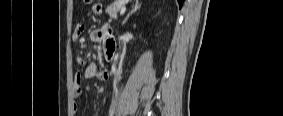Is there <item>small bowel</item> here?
<instances>
[{"instance_id": "1", "label": "small bowel", "mask_w": 283, "mask_h": 116, "mask_svg": "<svg viewBox=\"0 0 283 116\" xmlns=\"http://www.w3.org/2000/svg\"><path fill=\"white\" fill-rule=\"evenodd\" d=\"M102 12L101 4L95 3L93 5V13L100 15ZM83 31L82 27H79L75 30L73 34V40L81 41L83 39ZM111 30L108 25H103L102 27L91 31L90 38L94 42H103L106 46V53L110 57L114 54L116 49V41L110 35ZM77 62L80 65H85L84 71H78L74 77V84H73V96L75 99L81 98L84 96L85 91L82 88V83L84 80H93V79H100V80H107L109 78V73L105 69H101L97 63L85 62L83 57H78ZM75 112L78 110L77 104L74 106Z\"/></svg>"}]
</instances>
